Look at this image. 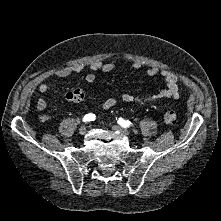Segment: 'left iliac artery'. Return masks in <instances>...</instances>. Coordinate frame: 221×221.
Masks as SVG:
<instances>
[{"instance_id": "left-iliac-artery-1", "label": "left iliac artery", "mask_w": 221, "mask_h": 221, "mask_svg": "<svg viewBox=\"0 0 221 221\" xmlns=\"http://www.w3.org/2000/svg\"><path fill=\"white\" fill-rule=\"evenodd\" d=\"M118 124H120L122 127L126 128V127H129L131 122L128 121V120H125L123 118H119L118 119Z\"/></svg>"}]
</instances>
